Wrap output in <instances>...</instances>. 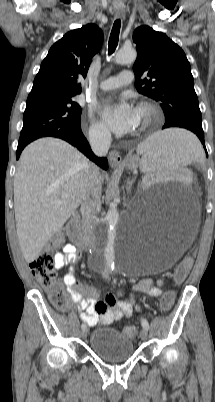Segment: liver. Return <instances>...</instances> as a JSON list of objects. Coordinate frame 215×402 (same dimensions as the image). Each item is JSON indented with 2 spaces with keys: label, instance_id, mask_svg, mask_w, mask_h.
I'll return each mask as SVG.
<instances>
[{
  "label": "liver",
  "instance_id": "obj_1",
  "mask_svg": "<svg viewBox=\"0 0 215 402\" xmlns=\"http://www.w3.org/2000/svg\"><path fill=\"white\" fill-rule=\"evenodd\" d=\"M91 165L76 148L52 137L40 138L23 150L14 178V209L18 241L27 263L37 259L75 213ZM100 180L102 183V175Z\"/></svg>",
  "mask_w": 215,
  "mask_h": 402
}]
</instances>
